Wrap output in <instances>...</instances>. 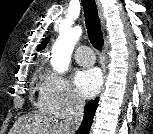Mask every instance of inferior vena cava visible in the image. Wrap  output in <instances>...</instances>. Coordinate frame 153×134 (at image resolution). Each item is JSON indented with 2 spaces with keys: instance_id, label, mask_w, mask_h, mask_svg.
Here are the masks:
<instances>
[{
  "instance_id": "1",
  "label": "inferior vena cava",
  "mask_w": 153,
  "mask_h": 134,
  "mask_svg": "<svg viewBox=\"0 0 153 134\" xmlns=\"http://www.w3.org/2000/svg\"><path fill=\"white\" fill-rule=\"evenodd\" d=\"M85 102L79 97L73 99L69 113L62 124L64 134H75L83 119Z\"/></svg>"
}]
</instances>
